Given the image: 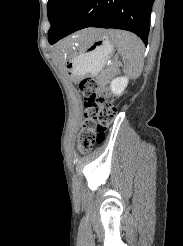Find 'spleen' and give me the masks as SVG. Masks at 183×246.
<instances>
[{
    "label": "spleen",
    "instance_id": "1",
    "mask_svg": "<svg viewBox=\"0 0 183 246\" xmlns=\"http://www.w3.org/2000/svg\"><path fill=\"white\" fill-rule=\"evenodd\" d=\"M108 36L121 54L124 73L133 79L140 76L143 69L145 47L135 34L122 30H109Z\"/></svg>",
    "mask_w": 183,
    "mask_h": 246
}]
</instances>
